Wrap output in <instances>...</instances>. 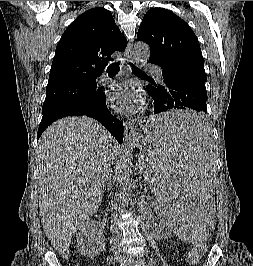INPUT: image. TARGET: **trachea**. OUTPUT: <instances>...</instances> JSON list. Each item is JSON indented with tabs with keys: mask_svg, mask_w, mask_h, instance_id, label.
Returning a JSON list of instances; mask_svg holds the SVG:
<instances>
[{
	"mask_svg": "<svg viewBox=\"0 0 253 266\" xmlns=\"http://www.w3.org/2000/svg\"><path fill=\"white\" fill-rule=\"evenodd\" d=\"M130 64V63H129ZM119 62H115V63H112L110 64L106 71L108 74H117L120 70V66H119ZM131 65V64H130ZM132 67V71L133 73L135 74H139V75H145L144 72H142L141 70H139L138 68H136L135 66H131Z\"/></svg>",
	"mask_w": 253,
	"mask_h": 266,
	"instance_id": "1",
	"label": "trachea"
}]
</instances>
